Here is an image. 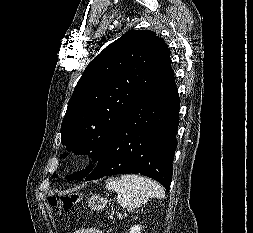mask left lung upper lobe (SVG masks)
<instances>
[{
    "mask_svg": "<svg viewBox=\"0 0 253 233\" xmlns=\"http://www.w3.org/2000/svg\"><path fill=\"white\" fill-rule=\"evenodd\" d=\"M170 64L168 46L150 30H130L102 50L68 102L61 125L67 151L91 152L92 161H98L120 123ZM92 168L90 164L67 179L86 177Z\"/></svg>",
    "mask_w": 253,
    "mask_h": 233,
    "instance_id": "obj_1",
    "label": "left lung upper lobe"
}]
</instances>
